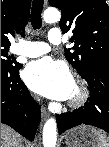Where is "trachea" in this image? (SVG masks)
Masks as SVG:
<instances>
[{"instance_id":"trachea-1","label":"trachea","mask_w":109,"mask_h":147,"mask_svg":"<svg viewBox=\"0 0 109 147\" xmlns=\"http://www.w3.org/2000/svg\"><path fill=\"white\" fill-rule=\"evenodd\" d=\"M43 0H34L31 10V24L33 29H40L42 26L41 13L43 10Z\"/></svg>"}]
</instances>
